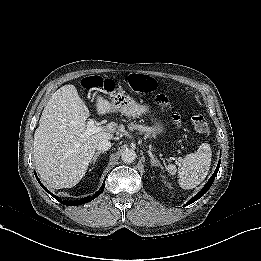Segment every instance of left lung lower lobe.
Returning <instances> with one entry per match:
<instances>
[{
  "instance_id": "obj_1",
  "label": "left lung lower lobe",
  "mask_w": 261,
  "mask_h": 261,
  "mask_svg": "<svg viewBox=\"0 0 261 261\" xmlns=\"http://www.w3.org/2000/svg\"><path fill=\"white\" fill-rule=\"evenodd\" d=\"M219 166H220V162L218 163V166L214 172V174L211 176V178L209 179L208 183L205 185V187L195 196L193 197L190 201H188V203H186V205H190L191 203L195 202L196 200H198L199 198H201L210 188L211 184L213 183L218 170H219Z\"/></svg>"
}]
</instances>
